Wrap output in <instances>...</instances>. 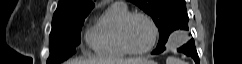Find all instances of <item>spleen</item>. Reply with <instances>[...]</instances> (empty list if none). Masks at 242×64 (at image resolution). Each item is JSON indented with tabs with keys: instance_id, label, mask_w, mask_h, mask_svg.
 <instances>
[{
	"instance_id": "obj_1",
	"label": "spleen",
	"mask_w": 242,
	"mask_h": 64,
	"mask_svg": "<svg viewBox=\"0 0 242 64\" xmlns=\"http://www.w3.org/2000/svg\"><path fill=\"white\" fill-rule=\"evenodd\" d=\"M166 64H185L180 59L174 58V57H168L166 60Z\"/></svg>"
}]
</instances>
